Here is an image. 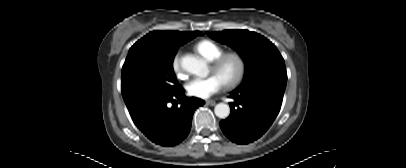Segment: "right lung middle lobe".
Instances as JSON below:
<instances>
[{
	"label": "right lung middle lobe",
	"instance_id": "obj_1",
	"mask_svg": "<svg viewBox=\"0 0 406 168\" xmlns=\"http://www.w3.org/2000/svg\"><path fill=\"white\" fill-rule=\"evenodd\" d=\"M177 50L133 45L122 67L121 92L130 115L177 90L172 63Z\"/></svg>",
	"mask_w": 406,
	"mask_h": 168
}]
</instances>
